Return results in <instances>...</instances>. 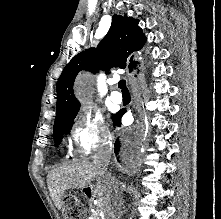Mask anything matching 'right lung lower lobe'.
Here are the masks:
<instances>
[{
	"label": "right lung lower lobe",
	"instance_id": "1",
	"mask_svg": "<svg viewBox=\"0 0 221 219\" xmlns=\"http://www.w3.org/2000/svg\"><path fill=\"white\" fill-rule=\"evenodd\" d=\"M124 113H125V110H120L114 116L113 121L117 126H120L121 124L120 120ZM114 146H115L114 152L115 154L119 155V157L130 151V148L126 146L125 144H123L122 142H120L119 138L116 139Z\"/></svg>",
	"mask_w": 221,
	"mask_h": 219
}]
</instances>
